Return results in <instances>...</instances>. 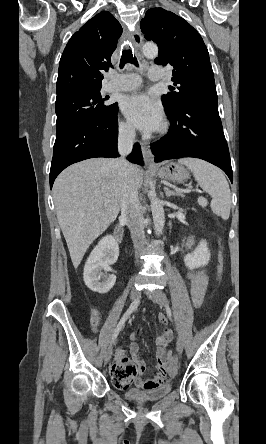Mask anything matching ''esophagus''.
I'll use <instances>...</instances> for the list:
<instances>
[{
  "label": "esophagus",
  "instance_id": "esophagus-1",
  "mask_svg": "<svg viewBox=\"0 0 266 444\" xmlns=\"http://www.w3.org/2000/svg\"><path fill=\"white\" fill-rule=\"evenodd\" d=\"M132 42L135 47L139 48L142 45V35L139 29H136L132 36H131ZM142 154L145 164L148 167H155L154 163V157L150 150V146L148 144H142Z\"/></svg>",
  "mask_w": 266,
  "mask_h": 444
}]
</instances>
